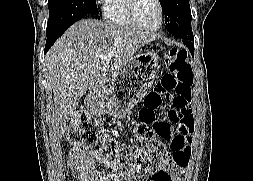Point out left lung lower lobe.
<instances>
[{"mask_svg": "<svg viewBox=\"0 0 253 181\" xmlns=\"http://www.w3.org/2000/svg\"><path fill=\"white\" fill-rule=\"evenodd\" d=\"M182 41L186 44V46L188 47V49L190 50L192 56L194 55V44L191 42L190 39H186V38H182Z\"/></svg>", "mask_w": 253, "mask_h": 181, "instance_id": "left-lung-lower-lobe-1", "label": "left lung lower lobe"}]
</instances>
